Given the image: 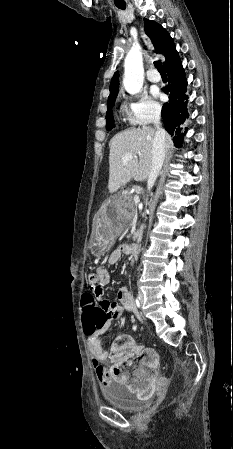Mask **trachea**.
Here are the masks:
<instances>
[{
	"label": "trachea",
	"mask_w": 233,
	"mask_h": 449,
	"mask_svg": "<svg viewBox=\"0 0 233 449\" xmlns=\"http://www.w3.org/2000/svg\"><path fill=\"white\" fill-rule=\"evenodd\" d=\"M119 9H122V10H124L125 9V6H117ZM154 66L157 68V70H158V72L160 73V74H166V72H165V70H164V68H163V66H162V63H161V61H155L154 62Z\"/></svg>",
	"instance_id": "obj_1"
}]
</instances>
